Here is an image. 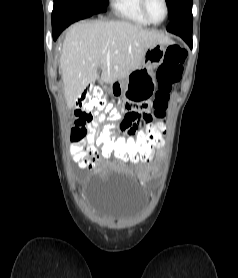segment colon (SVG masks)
<instances>
[{"label": "colon", "instance_id": "1", "mask_svg": "<svg viewBox=\"0 0 238 278\" xmlns=\"http://www.w3.org/2000/svg\"><path fill=\"white\" fill-rule=\"evenodd\" d=\"M187 52L178 45H170L164 54L156 77L158 91L153 103L155 116L162 118L167 108L169 94L179 83ZM122 109L114 100L98 88H89L76 102L72 139H82L87 135V125L95 120L106 121L98 133L96 141L100 159H117L118 162H148L156 155V149H164L166 141H161L165 130H138L135 137H120L118 127L125 118ZM146 129H167V124H146ZM146 135H148L146 137Z\"/></svg>", "mask_w": 238, "mask_h": 278}]
</instances>
